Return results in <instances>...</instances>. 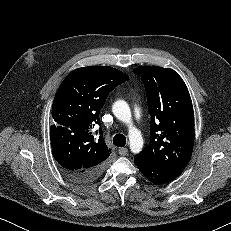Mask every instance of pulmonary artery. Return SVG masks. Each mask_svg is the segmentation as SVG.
Here are the masks:
<instances>
[{
  "mask_svg": "<svg viewBox=\"0 0 231 231\" xmlns=\"http://www.w3.org/2000/svg\"><path fill=\"white\" fill-rule=\"evenodd\" d=\"M134 114H135V118L138 120L140 118V111H139V109L135 108Z\"/></svg>",
  "mask_w": 231,
  "mask_h": 231,
  "instance_id": "e3ab8cb5",
  "label": "pulmonary artery"
}]
</instances>
